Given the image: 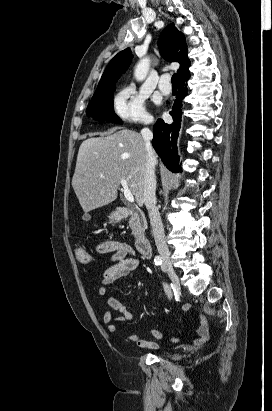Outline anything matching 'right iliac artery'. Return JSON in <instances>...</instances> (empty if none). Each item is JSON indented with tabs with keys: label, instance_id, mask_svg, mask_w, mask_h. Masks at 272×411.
<instances>
[{
	"label": "right iliac artery",
	"instance_id": "1",
	"mask_svg": "<svg viewBox=\"0 0 272 411\" xmlns=\"http://www.w3.org/2000/svg\"><path fill=\"white\" fill-rule=\"evenodd\" d=\"M162 261H163L162 258L159 257V256L155 257V259H154V263H155L156 266L161 265Z\"/></svg>",
	"mask_w": 272,
	"mask_h": 411
}]
</instances>
